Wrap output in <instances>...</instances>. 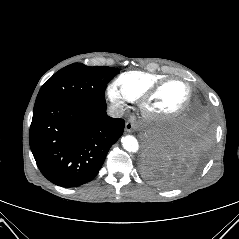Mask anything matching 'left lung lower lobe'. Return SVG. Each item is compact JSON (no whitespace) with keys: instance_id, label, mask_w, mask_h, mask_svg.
Returning a JSON list of instances; mask_svg holds the SVG:
<instances>
[{"instance_id":"obj_1","label":"left lung lower lobe","mask_w":239,"mask_h":239,"mask_svg":"<svg viewBox=\"0 0 239 239\" xmlns=\"http://www.w3.org/2000/svg\"><path fill=\"white\" fill-rule=\"evenodd\" d=\"M212 131L207 111L198 103L192 105L172 128L147 142L144 176L161 187L182 184L203 165Z\"/></svg>"}]
</instances>
